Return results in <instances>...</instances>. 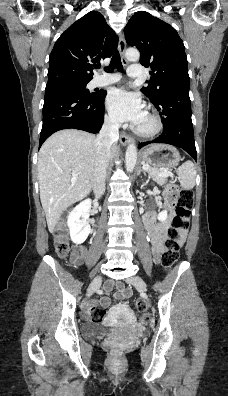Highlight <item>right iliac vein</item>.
<instances>
[{
  "label": "right iliac vein",
  "instance_id": "63e3f726",
  "mask_svg": "<svg viewBox=\"0 0 228 396\" xmlns=\"http://www.w3.org/2000/svg\"><path fill=\"white\" fill-rule=\"evenodd\" d=\"M101 276H97L92 283L90 284L89 288H88V292H87V296H91L93 294V292L100 286L101 283Z\"/></svg>",
  "mask_w": 228,
  "mask_h": 396
}]
</instances>
